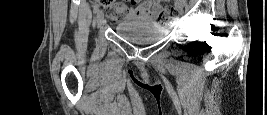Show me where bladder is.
<instances>
[{
  "label": "bladder",
  "instance_id": "1",
  "mask_svg": "<svg viewBox=\"0 0 267 115\" xmlns=\"http://www.w3.org/2000/svg\"><path fill=\"white\" fill-rule=\"evenodd\" d=\"M115 33L122 39L135 43L157 41L167 35V31L154 22L118 24Z\"/></svg>",
  "mask_w": 267,
  "mask_h": 115
}]
</instances>
